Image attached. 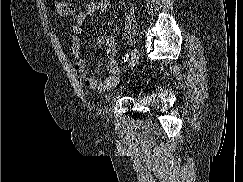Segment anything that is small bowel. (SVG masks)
Listing matches in <instances>:
<instances>
[{
	"mask_svg": "<svg viewBox=\"0 0 243 182\" xmlns=\"http://www.w3.org/2000/svg\"><path fill=\"white\" fill-rule=\"evenodd\" d=\"M109 0H88L84 8L78 12L73 19L72 32V53L75 58V73L79 80L84 82L86 87L99 93H104L115 88L119 82L120 68L116 62V46L111 38H99L98 43H105L108 55L107 70L110 75L100 81L95 76L90 75L87 70V60L82 57L81 37L83 35V25L89 16L105 13L109 10Z\"/></svg>",
	"mask_w": 243,
	"mask_h": 182,
	"instance_id": "1",
	"label": "small bowel"
}]
</instances>
